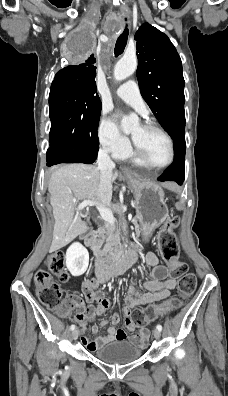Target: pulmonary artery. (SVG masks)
<instances>
[{
	"label": "pulmonary artery",
	"instance_id": "e3ab8cb5",
	"mask_svg": "<svg viewBox=\"0 0 228 396\" xmlns=\"http://www.w3.org/2000/svg\"><path fill=\"white\" fill-rule=\"evenodd\" d=\"M116 94L124 102L134 107L141 113H146V106L141 96L138 84L134 80H129L119 86L116 90Z\"/></svg>",
	"mask_w": 228,
	"mask_h": 396
}]
</instances>
